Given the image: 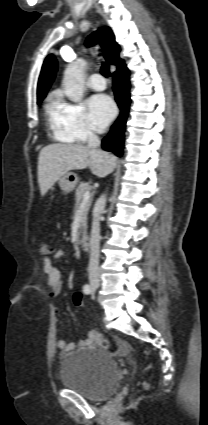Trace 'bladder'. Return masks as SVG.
Listing matches in <instances>:
<instances>
[{"label": "bladder", "instance_id": "31cf9c89", "mask_svg": "<svg viewBox=\"0 0 208 425\" xmlns=\"http://www.w3.org/2000/svg\"><path fill=\"white\" fill-rule=\"evenodd\" d=\"M120 379L114 358L101 349L88 348L61 359L62 383L87 399L101 400L110 396Z\"/></svg>", "mask_w": 208, "mask_h": 425}]
</instances>
